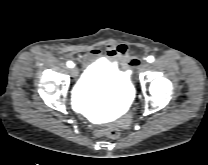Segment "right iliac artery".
Wrapping results in <instances>:
<instances>
[{"instance_id":"82829eb1","label":"right iliac artery","mask_w":208,"mask_h":165,"mask_svg":"<svg viewBox=\"0 0 208 165\" xmlns=\"http://www.w3.org/2000/svg\"><path fill=\"white\" fill-rule=\"evenodd\" d=\"M67 66H68L69 68H73V67H74V64H73V62L68 61V62H67Z\"/></svg>"}]
</instances>
